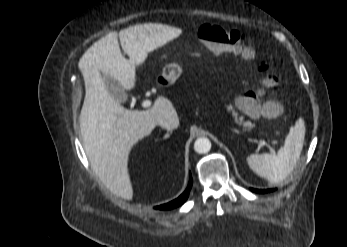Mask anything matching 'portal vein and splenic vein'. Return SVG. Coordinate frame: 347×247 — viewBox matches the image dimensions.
<instances>
[{
  "label": "portal vein and splenic vein",
  "mask_w": 347,
  "mask_h": 247,
  "mask_svg": "<svg viewBox=\"0 0 347 247\" xmlns=\"http://www.w3.org/2000/svg\"><path fill=\"white\" fill-rule=\"evenodd\" d=\"M151 104H152V102L150 100H144L142 102V107L147 108V107H150ZM260 145H262V146L266 145L265 141H261ZM272 153H274V151H272Z\"/></svg>",
  "instance_id": "18ae733b"
}]
</instances>
